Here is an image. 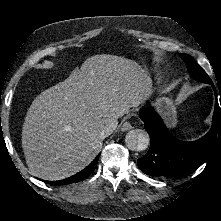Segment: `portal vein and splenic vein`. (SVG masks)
<instances>
[{"mask_svg":"<svg viewBox=\"0 0 221 221\" xmlns=\"http://www.w3.org/2000/svg\"><path fill=\"white\" fill-rule=\"evenodd\" d=\"M65 129H66V130H70V127H69V126H67Z\"/></svg>","mask_w":221,"mask_h":221,"instance_id":"18ae733b","label":"portal vein and splenic vein"}]
</instances>
